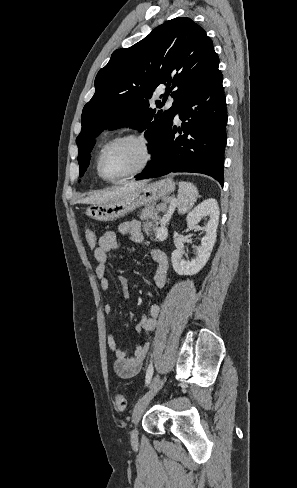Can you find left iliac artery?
Here are the masks:
<instances>
[{
	"label": "left iliac artery",
	"mask_w": 297,
	"mask_h": 488,
	"mask_svg": "<svg viewBox=\"0 0 297 488\" xmlns=\"http://www.w3.org/2000/svg\"><path fill=\"white\" fill-rule=\"evenodd\" d=\"M152 375H153V365L150 364L146 372V385L150 383ZM158 380H159V376H156L154 378V381H158Z\"/></svg>",
	"instance_id": "1"
}]
</instances>
